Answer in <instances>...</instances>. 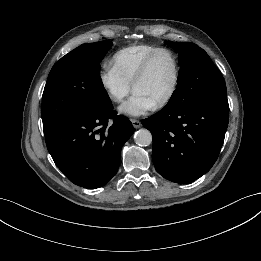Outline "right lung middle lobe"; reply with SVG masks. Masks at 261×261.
Returning a JSON list of instances; mask_svg holds the SVG:
<instances>
[{"mask_svg":"<svg viewBox=\"0 0 261 261\" xmlns=\"http://www.w3.org/2000/svg\"><path fill=\"white\" fill-rule=\"evenodd\" d=\"M111 45L110 41L83 44L55 63L42 96L45 134L68 121L99 114L109 107L99 74L100 62Z\"/></svg>","mask_w":261,"mask_h":261,"instance_id":"right-lung-middle-lobe-1","label":"right lung middle lobe"}]
</instances>
